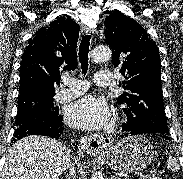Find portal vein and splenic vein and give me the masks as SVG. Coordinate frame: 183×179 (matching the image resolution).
I'll return each instance as SVG.
<instances>
[{
	"label": "portal vein and splenic vein",
	"mask_w": 183,
	"mask_h": 179,
	"mask_svg": "<svg viewBox=\"0 0 183 179\" xmlns=\"http://www.w3.org/2000/svg\"><path fill=\"white\" fill-rule=\"evenodd\" d=\"M147 177H148V176H143V177H142V178H140V179H147Z\"/></svg>",
	"instance_id": "obj_1"
}]
</instances>
